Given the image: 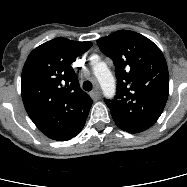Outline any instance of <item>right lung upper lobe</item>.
Returning a JSON list of instances; mask_svg holds the SVG:
<instances>
[{
    "label": "right lung upper lobe",
    "mask_w": 187,
    "mask_h": 187,
    "mask_svg": "<svg viewBox=\"0 0 187 187\" xmlns=\"http://www.w3.org/2000/svg\"><path fill=\"white\" fill-rule=\"evenodd\" d=\"M89 41L56 38L35 48L22 71L21 94L34 124L49 138L66 141L84 127L92 105L71 64L90 49Z\"/></svg>",
    "instance_id": "1"
}]
</instances>
